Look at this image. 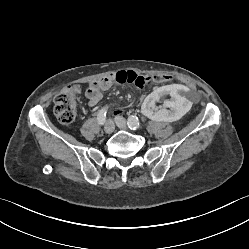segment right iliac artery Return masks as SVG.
Returning a JSON list of instances; mask_svg holds the SVG:
<instances>
[{
    "label": "right iliac artery",
    "instance_id": "1",
    "mask_svg": "<svg viewBox=\"0 0 249 249\" xmlns=\"http://www.w3.org/2000/svg\"><path fill=\"white\" fill-rule=\"evenodd\" d=\"M106 113H107V109L106 108H102L101 110H99L98 115H97V119H98V123L100 125H103L106 121Z\"/></svg>",
    "mask_w": 249,
    "mask_h": 249
}]
</instances>
